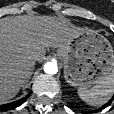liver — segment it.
I'll return each instance as SVG.
<instances>
[{
    "label": "liver",
    "instance_id": "obj_1",
    "mask_svg": "<svg viewBox=\"0 0 114 114\" xmlns=\"http://www.w3.org/2000/svg\"><path fill=\"white\" fill-rule=\"evenodd\" d=\"M84 31L51 16L0 19V103L12 99L28 82L46 48H61Z\"/></svg>",
    "mask_w": 114,
    "mask_h": 114
}]
</instances>
